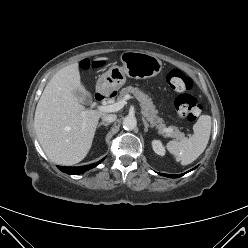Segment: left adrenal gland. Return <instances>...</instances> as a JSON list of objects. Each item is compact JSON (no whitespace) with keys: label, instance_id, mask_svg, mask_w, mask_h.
Masks as SVG:
<instances>
[{"label":"left adrenal gland","instance_id":"a2214340","mask_svg":"<svg viewBox=\"0 0 248 248\" xmlns=\"http://www.w3.org/2000/svg\"><path fill=\"white\" fill-rule=\"evenodd\" d=\"M142 121H143V124H144V131L147 132L148 131V128L149 127H152L148 124V122L145 120L144 117H142Z\"/></svg>","mask_w":248,"mask_h":248}]
</instances>
